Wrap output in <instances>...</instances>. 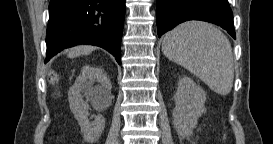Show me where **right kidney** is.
<instances>
[{"label":"right kidney","instance_id":"ca27d5eb","mask_svg":"<svg viewBox=\"0 0 273 144\" xmlns=\"http://www.w3.org/2000/svg\"><path fill=\"white\" fill-rule=\"evenodd\" d=\"M97 81L100 85L93 87ZM81 92H84L90 99L105 100L110 98L111 84L102 69L85 66L81 77L70 88L68 99L70 109L81 127V132L88 142H95L105 127V119L101 114L95 116V121L88 119V104L83 101Z\"/></svg>","mask_w":273,"mask_h":144}]
</instances>
